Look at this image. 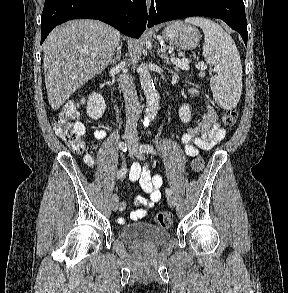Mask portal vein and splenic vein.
Masks as SVG:
<instances>
[{
  "instance_id": "18ae733b",
  "label": "portal vein and splenic vein",
  "mask_w": 288,
  "mask_h": 293,
  "mask_svg": "<svg viewBox=\"0 0 288 293\" xmlns=\"http://www.w3.org/2000/svg\"><path fill=\"white\" fill-rule=\"evenodd\" d=\"M92 57H96V55L93 54ZM171 62L182 69L189 70V65H188L189 60L188 59H179V58L172 57ZM198 66L200 68H203L204 63L201 62L198 64Z\"/></svg>"
}]
</instances>
